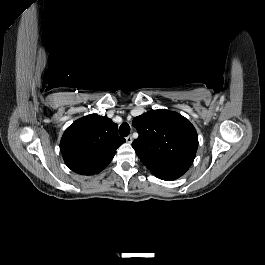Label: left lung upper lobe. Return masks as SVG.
Masks as SVG:
<instances>
[{"label": "left lung upper lobe", "instance_id": "obj_1", "mask_svg": "<svg viewBox=\"0 0 265 265\" xmlns=\"http://www.w3.org/2000/svg\"><path fill=\"white\" fill-rule=\"evenodd\" d=\"M139 137L132 147L148 168L192 161L198 148L194 126L182 115L169 110H152L133 119Z\"/></svg>", "mask_w": 265, "mask_h": 265}]
</instances>
